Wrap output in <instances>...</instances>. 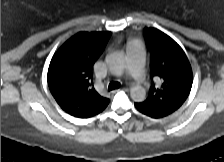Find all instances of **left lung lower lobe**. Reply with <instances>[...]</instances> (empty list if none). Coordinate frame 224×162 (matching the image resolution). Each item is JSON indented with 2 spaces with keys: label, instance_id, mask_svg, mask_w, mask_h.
<instances>
[{
  "label": "left lung lower lobe",
  "instance_id": "0a47b994",
  "mask_svg": "<svg viewBox=\"0 0 224 162\" xmlns=\"http://www.w3.org/2000/svg\"><path fill=\"white\" fill-rule=\"evenodd\" d=\"M144 114H146V113H144ZM146 115H148V116H150V117H153V118H160V117H164V116H166V115H157V114H146Z\"/></svg>",
  "mask_w": 224,
  "mask_h": 162
}]
</instances>
